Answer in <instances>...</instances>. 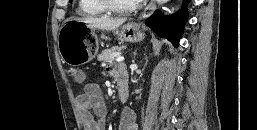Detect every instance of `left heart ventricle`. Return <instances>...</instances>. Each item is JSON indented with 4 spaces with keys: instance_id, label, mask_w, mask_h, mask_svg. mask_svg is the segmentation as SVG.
<instances>
[{
    "instance_id": "b2bd125f",
    "label": "left heart ventricle",
    "mask_w": 257,
    "mask_h": 130,
    "mask_svg": "<svg viewBox=\"0 0 257 130\" xmlns=\"http://www.w3.org/2000/svg\"><path fill=\"white\" fill-rule=\"evenodd\" d=\"M115 4L121 7H128L138 2V0H113Z\"/></svg>"
}]
</instances>
